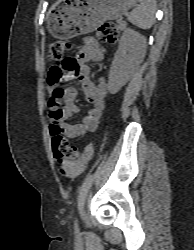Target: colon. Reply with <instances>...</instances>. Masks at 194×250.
<instances>
[{
	"label": "colon",
	"instance_id": "5ec220e1",
	"mask_svg": "<svg viewBox=\"0 0 194 250\" xmlns=\"http://www.w3.org/2000/svg\"><path fill=\"white\" fill-rule=\"evenodd\" d=\"M96 36L100 41L115 43L119 37V30L113 23H104L96 30ZM72 44L66 40L54 41L47 46V56L50 60H65V54L71 49ZM63 76L55 70H51L48 75V83L53 88L50 94V101H56L60 106L63 89L60 87ZM52 148L55 160L59 165L61 174L69 173L67 167L69 162L79 157V150L70 145L68 140L60 133L52 134Z\"/></svg>",
	"mask_w": 194,
	"mask_h": 250
}]
</instances>
